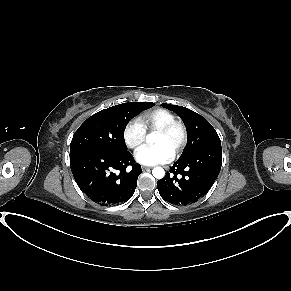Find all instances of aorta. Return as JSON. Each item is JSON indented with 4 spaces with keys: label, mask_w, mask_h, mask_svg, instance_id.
<instances>
[{
    "label": "aorta",
    "mask_w": 291,
    "mask_h": 291,
    "mask_svg": "<svg viewBox=\"0 0 291 291\" xmlns=\"http://www.w3.org/2000/svg\"><path fill=\"white\" fill-rule=\"evenodd\" d=\"M147 142L152 144L154 142V137L153 135H148L147 136ZM152 174L155 178L157 179H162L164 176H165V171L163 168L161 167H155L153 170H152Z\"/></svg>",
    "instance_id": "aorta-1"
}]
</instances>
